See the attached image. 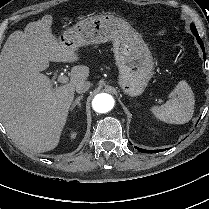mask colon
<instances>
[{"mask_svg":"<svg viewBox=\"0 0 209 209\" xmlns=\"http://www.w3.org/2000/svg\"><path fill=\"white\" fill-rule=\"evenodd\" d=\"M166 33V31L164 29H160L159 30V34L160 35H164ZM169 45H171V43H169Z\"/></svg>","mask_w":209,"mask_h":209,"instance_id":"obj_1","label":"colon"}]
</instances>
